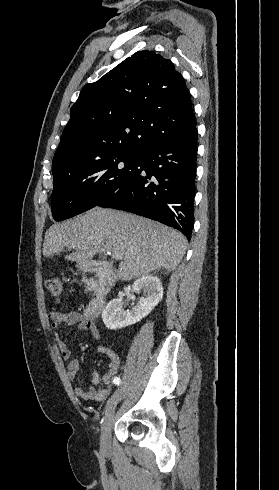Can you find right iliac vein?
<instances>
[{"instance_id":"obj_1","label":"right iliac vein","mask_w":279,"mask_h":490,"mask_svg":"<svg viewBox=\"0 0 279 490\" xmlns=\"http://www.w3.org/2000/svg\"><path fill=\"white\" fill-rule=\"evenodd\" d=\"M121 400V391L118 389L110 397L107 402L105 417L101 427V453L108 454L111 452V431L115 421V409L119 401Z\"/></svg>"}]
</instances>
